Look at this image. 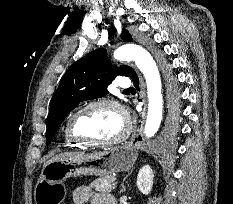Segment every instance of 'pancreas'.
<instances>
[{"label": "pancreas", "mask_w": 233, "mask_h": 204, "mask_svg": "<svg viewBox=\"0 0 233 204\" xmlns=\"http://www.w3.org/2000/svg\"><path fill=\"white\" fill-rule=\"evenodd\" d=\"M115 180L113 176L100 177L90 184V188L99 193H109L116 188Z\"/></svg>", "instance_id": "cf45deb5"}]
</instances>
